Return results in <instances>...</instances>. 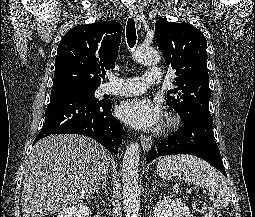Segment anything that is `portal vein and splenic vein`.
<instances>
[{"label": "portal vein and splenic vein", "mask_w": 255, "mask_h": 217, "mask_svg": "<svg viewBox=\"0 0 255 217\" xmlns=\"http://www.w3.org/2000/svg\"><path fill=\"white\" fill-rule=\"evenodd\" d=\"M187 191H188V192H190V191H191V189H187ZM203 192H205V191H203Z\"/></svg>", "instance_id": "1"}]
</instances>
